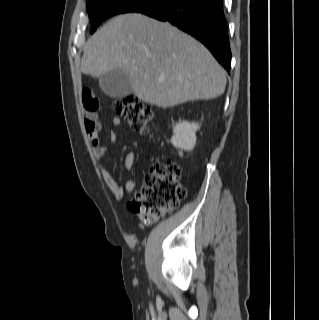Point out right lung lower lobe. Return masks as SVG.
Wrapping results in <instances>:
<instances>
[{
    "mask_svg": "<svg viewBox=\"0 0 319 320\" xmlns=\"http://www.w3.org/2000/svg\"><path fill=\"white\" fill-rule=\"evenodd\" d=\"M137 12L168 21L191 34L230 72L231 50L223 0H162Z\"/></svg>",
    "mask_w": 319,
    "mask_h": 320,
    "instance_id": "1",
    "label": "right lung lower lobe"
}]
</instances>
